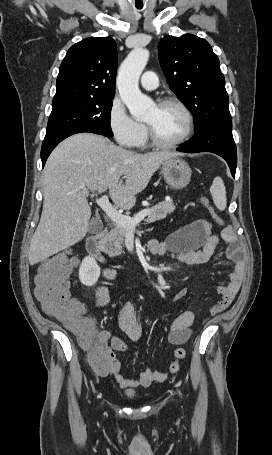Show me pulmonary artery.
Instances as JSON below:
<instances>
[{
  "mask_svg": "<svg viewBox=\"0 0 272 455\" xmlns=\"http://www.w3.org/2000/svg\"><path fill=\"white\" fill-rule=\"evenodd\" d=\"M141 86L146 90H154L158 87V78L153 71H146L143 73L141 80Z\"/></svg>",
  "mask_w": 272,
  "mask_h": 455,
  "instance_id": "pulmonary-artery-1",
  "label": "pulmonary artery"
}]
</instances>
